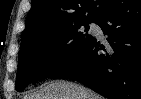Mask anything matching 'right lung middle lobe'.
Returning a JSON list of instances; mask_svg holds the SVG:
<instances>
[{
    "label": "right lung middle lobe",
    "mask_w": 141,
    "mask_h": 99,
    "mask_svg": "<svg viewBox=\"0 0 141 99\" xmlns=\"http://www.w3.org/2000/svg\"><path fill=\"white\" fill-rule=\"evenodd\" d=\"M81 22L43 35L20 46L16 90H23L35 80L53 76L68 66L92 40L89 23ZM95 22V21H94ZM84 26L85 31L79 29Z\"/></svg>",
    "instance_id": "obj_1"
}]
</instances>
